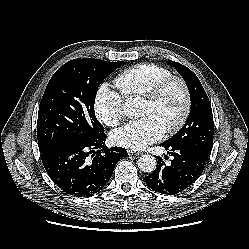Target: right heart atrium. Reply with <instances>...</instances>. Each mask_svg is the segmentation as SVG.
I'll use <instances>...</instances> for the list:
<instances>
[{
    "mask_svg": "<svg viewBox=\"0 0 249 249\" xmlns=\"http://www.w3.org/2000/svg\"><path fill=\"white\" fill-rule=\"evenodd\" d=\"M93 110L96 118L110 127L117 126L124 118L122 97L106 83L95 93Z\"/></svg>",
    "mask_w": 249,
    "mask_h": 249,
    "instance_id": "right-heart-atrium-1",
    "label": "right heart atrium"
}]
</instances>
